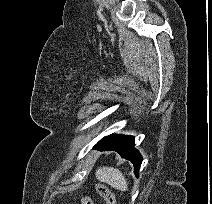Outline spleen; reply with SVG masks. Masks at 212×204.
Segmentation results:
<instances>
[{
  "mask_svg": "<svg viewBox=\"0 0 212 204\" xmlns=\"http://www.w3.org/2000/svg\"><path fill=\"white\" fill-rule=\"evenodd\" d=\"M96 178L120 191H127L128 184L125 176L119 169L113 167H100L96 170Z\"/></svg>",
  "mask_w": 212,
  "mask_h": 204,
  "instance_id": "3e777b00",
  "label": "spleen"
}]
</instances>
